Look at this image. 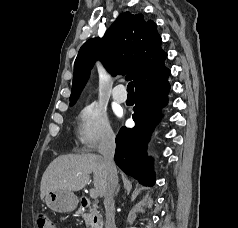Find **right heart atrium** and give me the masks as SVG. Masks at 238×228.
I'll use <instances>...</instances> for the list:
<instances>
[{
    "instance_id": "obj_1",
    "label": "right heart atrium",
    "mask_w": 238,
    "mask_h": 228,
    "mask_svg": "<svg viewBox=\"0 0 238 228\" xmlns=\"http://www.w3.org/2000/svg\"><path fill=\"white\" fill-rule=\"evenodd\" d=\"M76 134L82 149L88 152L115 140L106 112L95 102L88 103L80 109Z\"/></svg>"
}]
</instances>
